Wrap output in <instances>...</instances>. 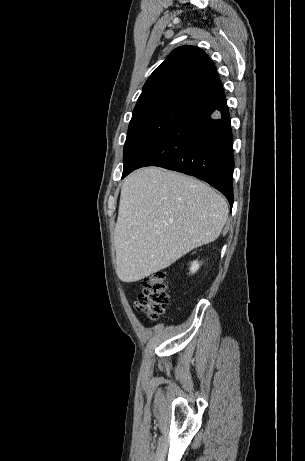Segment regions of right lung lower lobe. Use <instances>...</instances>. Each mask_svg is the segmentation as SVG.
Here are the masks:
<instances>
[{
  "label": "right lung lower lobe",
  "instance_id": "obj_1",
  "mask_svg": "<svg viewBox=\"0 0 305 461\" xmlns=\"http://www.w3.org/2000/svg\"><path fill=\"white\" fill-rule=\"evenodd\" d=\"M233 136L227 101L221 88L189 107L167 135L122 178L143 166H160L208 182L233 203Z\"/></svg>",
  "mask_w": 305,
  "mask_h": 461
}]
</instances>
